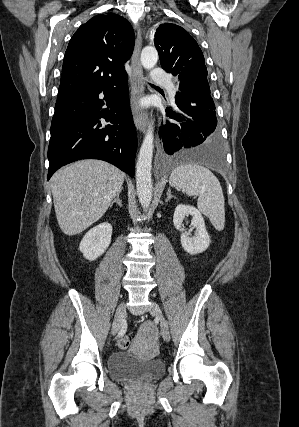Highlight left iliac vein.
Masks as SVG:
<instances>
[{"label": "left iliac vein", "mask_w": 299, "mask_h": 427, "mask_svg": "<svg viewBox=\"0 0 299 427\" xmlns=\"http://www.w3.org/2000/svg\"><path fill=\"white\" fill-rule=\"evenodd\" d=\"M150 313L155 316L160 321V327H161V335L163 339L168 342L170 340V331L168 329L167 324L164 321L162 311L160 307L157 305V303L152 302L150 306Z\"/></svg>", "instance_id": "obj_1"}]
</instances>
